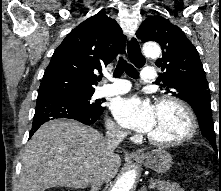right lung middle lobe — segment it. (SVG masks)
<instances>
[{"label": "right lung middle lobe", "mask_w": 221, "mask_h": 191, "mask_svg": "<svg viewBox=\"0 0 221 191\" xmlns=\"http://www.w3.org/2000/svg\"><path fill=\"white\" fill-rule=\"evenodd\" d=\"M64 93L70 94L74 100L87 112L92 113L103 109L100 101L91 103L89 100L93 95L94 91H66Z\"/></svg>", "instance_id": "obj_1"}]
</instances>
